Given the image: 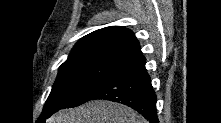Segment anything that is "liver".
Here are the masks:
<instances>
[{"instance_id": "6515ba94", "label": "liver", "mask_w": 221, "mask_h": 123, "mask_svg": "<svg viewBox=\"0 0 221 123\" xmlns=\"http://www.w3.org/2000/svg\"><path fill=\"white\" fill-rule=\"evenodd\" d=\"M47 123H147L131 108L105 100L88 102L74 109L59 111Z\"/></svg>"}]
</instances>
